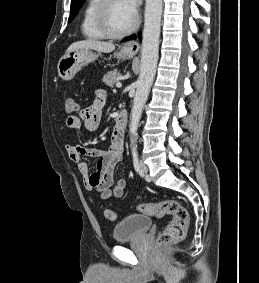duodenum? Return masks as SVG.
<instances>
[{
  "mask_svg": "<svg viewBox=\"0 0 259 283\" xmlns=\"http://www.w3.org/2000/svg\"><path fill=\"white\" fill-rule=\"evenodd\" d=\"M127 122H128L127 113L125 111H121L115 120V125H114L115 131L118 133H123L127 126Z\"/></svg>",
  "mask_w": 259,
  "mask_h": 283,
  "instance_id": "410a0bca",
  "label": "duodenum"
}]
</instances>
